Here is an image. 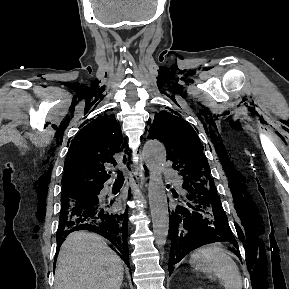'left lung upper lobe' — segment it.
Returning a JSON list of instances; mask_svg holds the SVG:
<instances>
[{"label":"left lung upper lobe","mask_w":289,"mask_h":289,"mask_svg":"<svg viewBox=\"0 0 289 289\" xmlns=\"http://www.w3.org/2000/svg\"><path fill=\"white\" fill-rule=\"evenodd\" d=\"M172 113L174 115L167 111L156 114L148 138L164 143L168 159L173 162V168L179 171L185 183L214 186L208 161L202 152L203 145L195 130L185 120L177 117V113Z\"/></svg>","instance_id":"5c2ea615"}]
</instances>
